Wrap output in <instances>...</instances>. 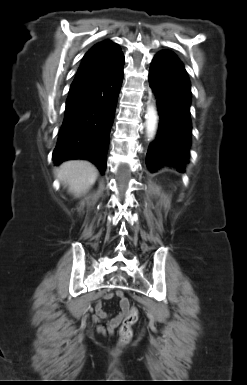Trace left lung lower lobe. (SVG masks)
I'll return each mask as SVG.
<instances>
[{
    "label": "left lung lower lobe",
    "instance_id": "1",
    "mask_svg": "<svg viewBox=\"0 0 247 385\" xmlns=\"http://www.w3.org/2000/svg\"><path fill=\"white\" fill-rule=\"evenodd\" d=\"M149 84L157 98L160 122L157 138L147 153V166L155 170L163 165L186 164L192 130L191 87L186 70L174 53L163 50L155 55Z\"/></svg>",
    "mask_w": 247,
    "mask_h": 385
}]
</instances>
